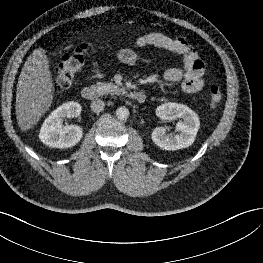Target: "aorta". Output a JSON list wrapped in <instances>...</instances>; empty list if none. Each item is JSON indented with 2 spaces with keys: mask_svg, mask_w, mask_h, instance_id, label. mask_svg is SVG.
<instances>
[{
  "mask_svg": "<svg viewBox=\"0 0 263 263\" xmlns=\"http://www.w3.org/2000/svg\"><path fill=\"white\" fill-rule=\"evenodd\" d=\"M116 116L119 120H127L129 117V110L126 107H119L116 110Z\"/></svg>",
  "mask_w": 263,
  "mask_h": 263,
  "instance_id": "obj_1",
  "label": "aorta"
}]
</instances>
